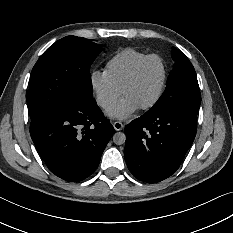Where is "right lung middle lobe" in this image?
Masks as SVG:
<instances>
[{
  "mask_svg": "<svg viewBox=\"0 0 233 233\" xmlns=\"http://www.w3.org/2000/svg\"><path fill=\"white\" fill-rule=\"evenodd\" d=\"M101 46L67 36L42 54L31 72L27 97L31 119L56 111L76 96H92L89 70Z\"/></svg>",
  "mask_w": 233,
  "mask_h": 233,
  "instance_id": "dd1d6c3e",
  "label": "right lung middle lobe"
}]
</instances>
